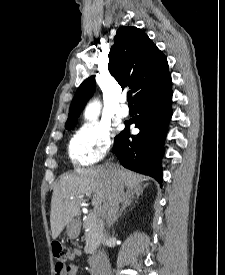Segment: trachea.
<instances>
[{"label":"trachea","instance_id":"3493384b","mask_svg":"<svg viewBox=\"0 0 225 275\" xmlns=\"http://www.w3.org/2000/svg\"><path fill=\"white\" fill-rule=\"evenodd\" d=\"M127 100H128L129 105H133L132 92L127 93Z\"/></svg>","mask_w":225,"mask_h":275}]
</instances>
